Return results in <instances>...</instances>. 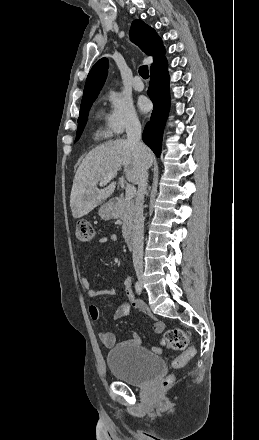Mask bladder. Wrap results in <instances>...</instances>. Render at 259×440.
<instances>
[{"label": "bladder", "mask_w": 259, "mask_h": 440, "mask_svg": "<svg viewBox=\"0 0 259 440\" xmlns=\"http://www.w3.org/2000/svg\"><path fill=\"white\" fill-rule=\"evenodd\" d=\"M106 363L116 379L135 386L148 383L164 370L160 356L131 345H120L109 351Z\"/></svg>", "instance_id": "1"}]
</instances>
